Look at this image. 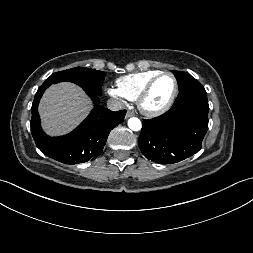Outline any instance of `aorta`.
<instances>
[{
  "label": "aorta",
  "instance_id": "1",
  "mask_svg": "<svg viewBox=\"0 0 253 253\" xmlns=\"http://www.w3.org/2000/svg\"><path fill=\"white\" fill-rule=\"evenodd\" d=\"M128 126L133 131H139L142 127V124L138 118L132 117L128 120Z\"/></svg>",
  "mask_w": 253,
  "mask_h": 253
}]
</instances>
